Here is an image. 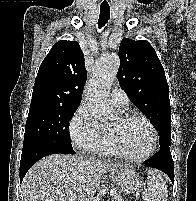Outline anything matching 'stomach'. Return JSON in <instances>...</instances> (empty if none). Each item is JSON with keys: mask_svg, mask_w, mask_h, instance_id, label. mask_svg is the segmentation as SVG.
I'll use <instances>...</instances> for the list:
<instances>
[{"mask_svg": "<svg viewBox=\"0 0 196 201\" xmlns=\"http://www.w3.org/2000/svg\"><path fill=\"white\" fill-rule=\"evenodd\" d=\"M112 177L120 187V190L127 194L137 191L142 185L140 175L131 168H119Z\"/></svg>", "mask_w": 196, "mask_h": 201, "instance_id": "1", "label": "stomach"}]
</instances>
